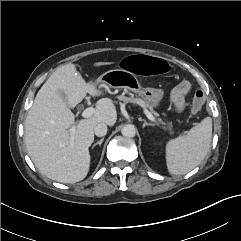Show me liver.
<instances>
[{
	"mask_svg": "<svg viewBox=\"0 0 241 241\" xmlns=\"http://www.w3.org/2000/svg\"><path fill=\"white\" fill-rule=\"evenodd\" d=\"M96 62L94 67L110 65ZM97 82H86L72 63L58 67L38 91L25 120V144L37 169L46 177L62 182L83 180L90 168L89 147L99 123L113 126L117 120L116 106L111 99L96 102L94 114L77 122L73 136L68 129L74 124L70 108L90 94H103ZM65 95V99L61 96Z\"/></svg>",
	"mask_w": 241,
	"mask_h": 241,
	"instance_id": "liver-1",
	"label": "liver"
}]
</instances>
